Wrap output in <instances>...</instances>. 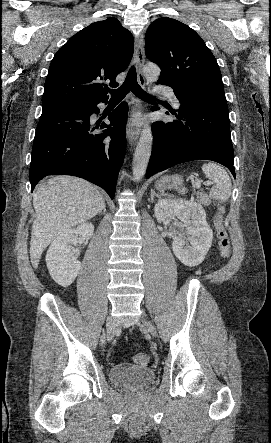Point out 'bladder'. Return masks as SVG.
I'll list each match as a JSON object with an SVG mask.
<instances>
[{
  "label": "bladder",
  "instance_id": "1",
  "mask_svg": "<svg viewBox=\"0 0 271 443\" xmlns=\"http://www.w3.org/2000/svg\"><path fill=\"white\" fill-rule=\"evenodd\" d=\"M155 377L154 371L146 366L130 363L113 365L109 370L110 381L124 388H140L148 385Z\"/></svg>",
  "mask_w": 271,
  "mask_h": 443
}]
</instances>
